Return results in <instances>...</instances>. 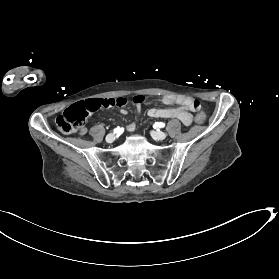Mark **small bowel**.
<instances>
[{
  "label": "small bowel",
  "mask_w": 279,
  "mask_h": 279,
  "mask_svg": "<svg viewBox=\"0 0 279 279\" xmlns=\"http://www.w3.org/2000/svg\"><path fill=\"white\" fill-rule=\"evenodd\" d=\"M163 104L172 105L177 104L176 107L171 108H151L148 111V115L153 118H177L179 119L184 125L188 126L192 122V115L190 110L178 99L173 96H163L159 99ZM140 112V108H138ZM121 113L123 115L127 114L126 109H121ZM136 124L135 122H131L127 127L126 130L128 132H132L135 130ZM82 133L85 132L83 129Z\"/></svg>",
  "instance_id": "c3829d8e"
}]
</instances>
